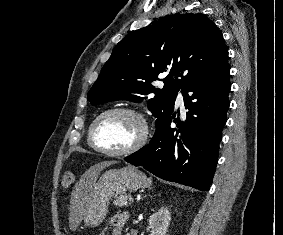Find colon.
Returning <instances> with one entry per match:
<instances>
[{
	"label": "colon",
	"instance_id": "obj_1",
	"mask_svg": "<svg viewBox=\"0 0 283 235\" xmlns=\"http://www.w3.org/2000/svg\"><path fill=\"white\" fill-rule=\"evenodd\" d=\"M73 180H74L73 173L71 171H66L62 175L61 184L64 188H67L72 184Z\"/></svg>",
	"mask_w": 283,
	"mask_h": 235
}]
</instances>
